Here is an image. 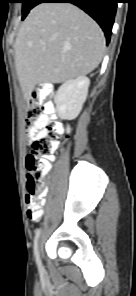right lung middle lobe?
<instances>
[{
    "mask_svg": "<svg viewBox=\"0 0 136 296\" xmlns=\"http://www.w3.org/2000/svg\"><path fill=\"white\" fill-rule=\"evenodd\" d=\"M21 3H23V7H22V20H24V18L27 16V14L29 13V11L35 7L37 4L40 3V0H21Z\"/></svg>",
    "mask_w": 136,
    "mask_h": 296,
    "instance_id": "1",
    "label": "right lung middle lobe"
}]
</instances>
